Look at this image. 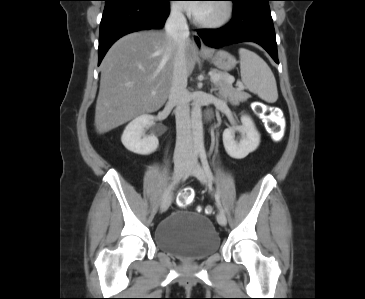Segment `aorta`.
<instances>
[{
    "label": "aorta",
    "instance_id": "762f6f07",
    "mask_svg": "<svg viewBox=\"0 0 365 299\" xmlns=\"http://www.w3.org/2000/svg\"><path fill=\"white\" fill-rule=\"evenodd\" d=\"M191 129L194 146L197 149H202L203 142V124H202V110L199 98L194 99L191 110Z\"/></svg>",
    "mask_w": 365,
    "mask_h": 299
}]
</instances>
